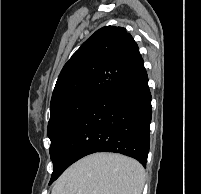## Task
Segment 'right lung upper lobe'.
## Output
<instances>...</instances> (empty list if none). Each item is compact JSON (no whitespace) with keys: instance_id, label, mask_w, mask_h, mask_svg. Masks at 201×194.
Wrapping results in <instances>:
<instances>
[{"instance_id":"obj_1","label":"right lung upper lobe","mask_w":201,"mask_h":194,"mask_svg":"<svg viewBox=\"0 0 201 194\" xmlns=\"http://www.w3.org/2000/svg\"><path fill=\"white\" fill-rule=\"evenodd\" d=\"M142 63L138 45L126 29L105 26L88 38L64 65L50 109L72 98L100 95Z\"/></svg>"}]
</instances>
